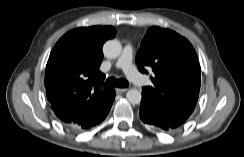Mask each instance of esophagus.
<instances>
[{
  "label": "esophagus",
  "mask_w": 244,
  "mask_h": 157,
  "mask_svg": "<svg viewBox=\"0 0 244 157\" xmlns=\"http://www.w3.org/2000/svg\"><path fill=\"white\" fill-rule=\"evenodd\" d=\"M128 90V88H116V92L117 93H124V92H126Z\"/></svg>",
  "instance_id": "1"
}]
</instances>
